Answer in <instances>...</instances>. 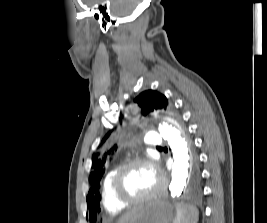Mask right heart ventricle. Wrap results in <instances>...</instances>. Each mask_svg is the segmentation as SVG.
I'll return each instance as SVG.
<instances>
[{"mask_svg":"<svg viewBox=\"0 0 267 223\" xmlns=\"http://www.w3.org/2000/svg\"><path fill=\"white\" fill-rule=\"evenodd\" d=\"M121 164H117L110 168L105 174L102 182L101 200L104 209L112 214L119 213L125 209V205L120 203L114 196L112 191V181Z\"/></svg>","mask_w":267,"mask_h":223,"instance_id":"obj_1","label":"right heart ventricle"}]
</instances>
